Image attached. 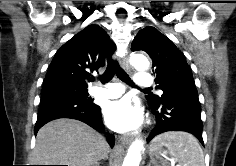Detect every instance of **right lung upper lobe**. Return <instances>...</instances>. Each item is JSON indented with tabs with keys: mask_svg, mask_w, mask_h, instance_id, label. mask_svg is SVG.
<instances>
[{
	"mask_svg": "<svg viewBox=\"0 0 236 166\" xmlns=\"http://www.w3.org/2000/svg\"><path fill=\"white\" fill-rule=\"evenodd\" d=\"M115 49L116 45L100 26H87L58 49L44 85L64 83L87 87L88 71H98Z\"/></svg>",
	"mask_w": 236,
	"mask_h": 166,
	"instance_id": "1",
	"label": "right lung upper lobe"
}]
</instances>
